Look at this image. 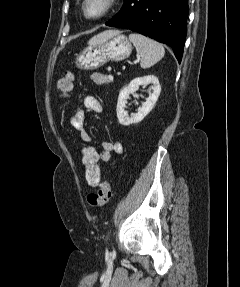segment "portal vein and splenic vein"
I'll return each instance as SVG.
<instances>
[{
  "instance_id": "obj_1",
  "label": "portal vein and splenic vein",
  "mask_w": 240,
  "mask_h": 287,
  "mask_svg": "<svg viewBox=\"0 0 240 287\" xmlns=\"http://www.w3.org/2000/svg\"><path fill=\"white\" fill-rule=\"evenodd\" d=\"M140 60V58H137V61H139ZM109 79L110 80H113V76L112 75H109Z\"/></svg>"
}]
</instances>
